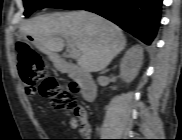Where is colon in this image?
Here are the masks:
<instances>
[{"label": "colon", "instance_id": "obj_1", "mask_svg": "<svg viewBox=\"0 0 182 140\" xmlns=\"http://www.w3.org/2000/svg\"><path fill=\"white\" fill-rule=\"evenodd\" d=\"M15 50L27 94L40 93L49 98L54 109L72 111L76 119L83 120L84 112L76 106V85L73 83L67 88L61 87L58 81L50 76L46 60L27 42L17 41Z\"/></svg>", "mask_w": 182, "mask_h": 140}]
</instances>
